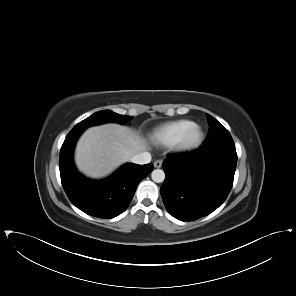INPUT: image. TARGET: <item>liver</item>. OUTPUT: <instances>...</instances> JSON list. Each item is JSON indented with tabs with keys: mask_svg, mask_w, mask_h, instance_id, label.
Listing matches in <instances>:
<instances>
[{
	"mask_svg": "<svg viewBox=\"0 0 296 296\" xmlns=\"http://www.w3.org/2000/svg\"><path fill=\"white\" fill-rule=\"evenodd\" d=\"M147 145L136 131L119 124L88 128L80 137L75 151L78 169L91 178H103Z\"/></svg>",
	"mask_w": 296,
	"mask_h": 296,
	"instance_id": "obj_1",
	"label": "liver"
}]
</instances>
